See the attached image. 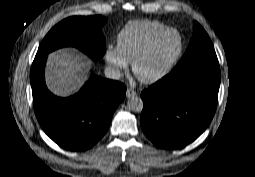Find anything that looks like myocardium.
Masks as SVG:
<instances>
[{"mask_svg":"<svg viewBox=\"0 0 255 177\" xmlns=\"http://www.w3.org/2000/svg\"><path fill=\"white\" fill-rule=\"evenodd\" d=\"M170 32H175L178 35L179 38V44H178V49L177 51L170 57V59L166 62V64L162 67V69L156 73L154 76L149 77V78H141L137 76V66L138 64L148 55V53L152 50L154 45L157 43V41L163 37L164 35L170 33ZM183 37L180 34V32L173 28V27H167L160 32L156 33L151 39L146 43V45L141 49V51L137 54L135 59L132 61V71L133 73L139 78V80L143 83L146 84H153L158 81H160L162 78H164L174 63L177 61V59L180 57L182 51H183Z\"/></svg>","mask_w":255,"mask_h":177,"instance_id":"obj_1","label":"myocardium"}]
</instances>
